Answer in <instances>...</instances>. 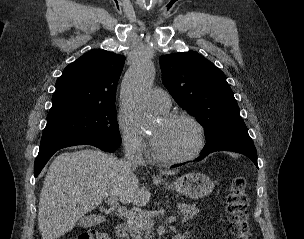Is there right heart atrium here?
Wrapping results in <instances>:
<instances>
[{
    "label": "right heart atrium",
    "mask_w": 304,
    "mask_h": 239,
    "mask_svg": "<svg viewBox=\"0 0 304 239\" xmlns=\"http://www.w3.org/2000/svg\"><path fill=\"white\" fill-rule=\"evenodd\" d=\"M118 125L126 152L134 157L146 155L148 147L144 137L124 112H120L118 115Z\"/></svg>",
    "instance_id": "1"
}]
</instances>
